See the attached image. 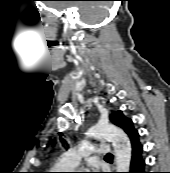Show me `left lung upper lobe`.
<instances>
[{
    "instance_id": "obj_1",
    "label": "left lung upper lobe",
    "mask_w": 170,
    "mask_h": 173,
    "mask_svg": "<svg viewBox=\"0 0 170 173\" xmlns=\"http://www.w3.org/2000/svg\"><path fill=\"white\" fill-rule=\"evenodd\" d=\"M110 121L122 128L129 136L132 146L139 142V134L133 127L131 119L126 118L121 111L113 112Z\"/></svg>"
}]
</instances>
